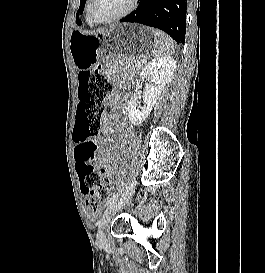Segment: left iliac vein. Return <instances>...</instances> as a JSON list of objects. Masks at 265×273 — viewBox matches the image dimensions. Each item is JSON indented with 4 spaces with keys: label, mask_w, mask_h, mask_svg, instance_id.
Masks as SVG:
<instances>
[{
    "label": "left iliac vein",
    "mask_w": 265,
    "mask_h": 273,
    "mask_svg": "<svg viewBox=\"0 0 265 273\" xmlns=\"http://www.w3.org/2000/svg\"><path fill=\"white\" fill-rule=\"evenodd\" d=\"M135 184L136 182H132L125 195L112 203L104 212L101 222L99 224V230L97 234L96 245L98 247H107L108 243L104 234V227L110 221V219L130 200L134 192Z\"/></svg>",
    "instance_id": "left-iliac-vein-1"
}]
</instances>
